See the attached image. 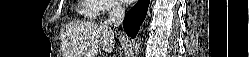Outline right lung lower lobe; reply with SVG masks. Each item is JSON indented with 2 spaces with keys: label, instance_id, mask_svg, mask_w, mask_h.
Returning a JSON list of instances; mask_svg holds the SVG:
<instances>
[{
  "label": "right lung lower lobe",
  "instance_id": "98d812e1",
  "mask_svg": "<svg viewBox=\"0 0 249 57\" xmlns=\"http://www.w3.org/2000/svg\"><path fill=\"white\" fill-rule=\"evenodd\" d=\"M149 6V0H139L126 14L123 27L125 32L135 38L144 21Z\"/></svg>",
  "mask_w": 249,
  "mask_h": 57
}]
</instances>
